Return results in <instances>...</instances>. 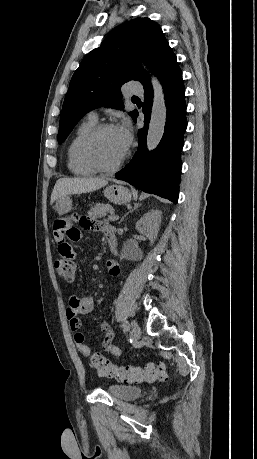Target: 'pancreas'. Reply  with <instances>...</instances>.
I'll return each instance as SVG.
<instances>
[{"instance_id":"pancreas-1","label":"pancreas","mask_w":257,"mask_h":459,"mask_svg":"<svg viewBox=\"0 0 257 459\" xmlns=\"http://www.w3.org/2000/svg\"><path fill=\"white\" fill-rule=\"evenodd\" d=\"M111 212H113V208L110 204L97 203L93 207L90 208L88 214H89V217L93 219H97V218H103L108 213H111Z\"/></svg>"}]
</instances>
